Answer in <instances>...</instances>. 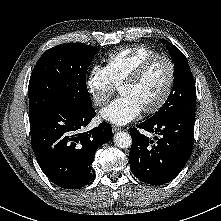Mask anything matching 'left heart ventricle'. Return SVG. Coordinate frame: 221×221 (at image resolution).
Listing matches in <instances>:
<instances>
[{
    "label": "left heart ventricle",
    "mask_w": 221,
    "mask_h": 221,
    "mask_svg": "<svg viewBox=\"0 0 221 221\" xmlns=\"http://www.w3.org/2000/svg\"><path fill=\"white\" fill-rule=\"evenodd\" d=\"M168 81V65L162 60H157L149 66L137 83L123 86L119 91L122 96L135 100L143 110L157 103L164 94Z\"/></svg>",
    "instance_id": "b2bd125f"
}]
</instances>
